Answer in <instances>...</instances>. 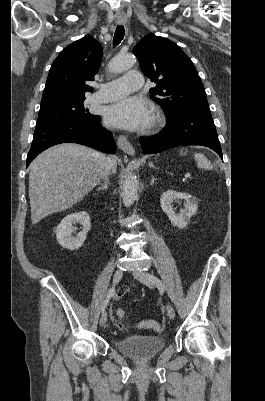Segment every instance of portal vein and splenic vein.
<instances>
[{
    "mask_svg": "<svg viewBox=\"0 0 265 401\" xmlns=\"http://www.w3.org/2000/svg\"><path fill=\"white\" fill-rule=\"evenodd\" d=\"M185 178H186V179H189V178H190L189 172H187V174H185Z\"/></svg>",
    "mask_w": 265,
    "mask_h": 401,
    "instance_id": "1",
    "label": "portal vein and splenic vein"
}]
</instances>
